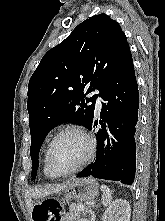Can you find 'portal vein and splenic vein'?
<instances>
[{
	"label": "portal vein and splenic vein",
	"instance_id": "obj_1",
	"mask_svg": "<svg viewBox=\"0 0 165 221\" xmlns=\"http://www.w3.org/2000/svg\"><path fill=\"white\" fill-rule=\"evenodd\" d=\"M77 209H78L79 211H83V210L85 209V206H84V205H79V206L77 207Z\"/></svg>",
	"mask_w": 165,
	"mask_h": 221
}]
</instances>
